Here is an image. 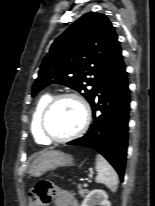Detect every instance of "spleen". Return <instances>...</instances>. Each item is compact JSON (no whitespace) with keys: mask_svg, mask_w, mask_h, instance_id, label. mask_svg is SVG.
Segmentation results:
<instances>
[{"mask_svg":"<svg viewBox=\"0 0 155 206\" xmlns=\"http://www.w3.org/2000/svg\"><path fill=\"white\" fill-rule=\"evenodd\" d=\"M96 171V183L104 184L111 191L115 192L118 186L117 173L102 155H97L96 157Z\"/></svg>","mask_w":155,"mask_h":206,"instance_id":"1","label":"spleen"}]
</instances>
